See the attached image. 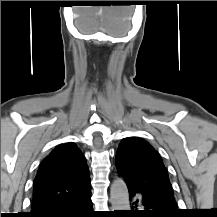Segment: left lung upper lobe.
<instances>
[{"label":"left lung upper lobe","instance_id":"5c2ea615","mask_svg":"<svg viewBox=\"0 0 217 217\" xmlns=\"http://www.w3.org/2000/svg\"><path fill=\"white\" fill-rule=\"evenodd\" d=\"M116 167L129 189L162 197L176 207L167 169L148 142L137 137L123 139L116 153Z\"/></svg>","mask_w":217,"mask_h":217}]
</instances>
